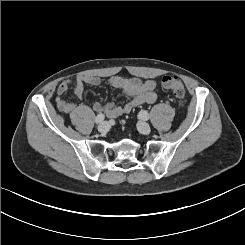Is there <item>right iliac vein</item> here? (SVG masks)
<instances>
[{
  "label": "right iliac vein",
  "mask_w": 245,
  "mask_h": 245,
  "mask_svg": "<svg viewBox=\"0 0 245 245\" xmlns=\"http://www.w3.org/2000/svg\"><path fill=\"white\" fill-rule=\"evenodd\" d=\"M110 129V125L108 122L104 121L98 126V131L101 133L108 132Z\"/></svg>",
  "instance_id": "right-iliac-vein-1"
}]
</instances>
